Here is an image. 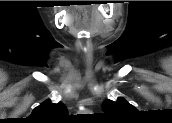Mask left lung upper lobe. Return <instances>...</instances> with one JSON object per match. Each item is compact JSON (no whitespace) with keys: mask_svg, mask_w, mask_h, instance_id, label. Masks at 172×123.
Masks as SVG:
<instances>
[{"mask_svg":"<svg viewBox=\"0 0 172 123\" xmlns=\"http://www.w3.org/2000/svg\"><path fill=\"white\" fill-rule=\"evenodd\" d=\"M106 115L115 117H124L136 112L135 107L129 104L124 98H118L117 101L105 100L102 104Z\"/></svg>","mask_w":172,"mask_h":123,"instance_id":"left-lung-upper-lobe-1","label":"left lung upper lobe"}]
</instances>
